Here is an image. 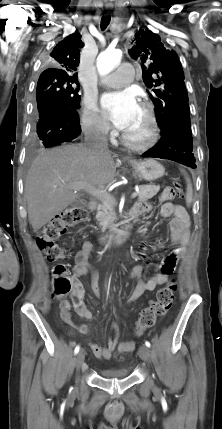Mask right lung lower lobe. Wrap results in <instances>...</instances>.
<instances>
[{
    "label": "right lung lower lobe",
    "instance_id": "1",
    "mask_svg": "<svg viewBox=\"0 0 222 429\" xmlns=\"http://www.w3.org/2000/svg\"><path fill=\"white\" fill-rule=\"evenodd\" d=\"M81 133L76 108L54 101L39 112L37 134L45 147L68 142Z\"/></svg>",
    "mask_w": 222,
    "mask_h": 429
}]
</instances>
